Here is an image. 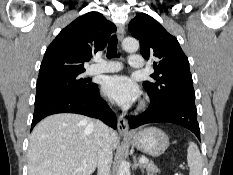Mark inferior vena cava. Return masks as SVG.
<instances>
[{"label":"inferior vena cava","mask_w":233,"mask_h":175,"mask_svg":"<svg viewBox=\"0 0 233 175\" xmlns=\"http://www.w3.org/2000/svg\"><path fill=\"white\" fill-rule=\"evenodd\" d=\"M97 136H98V174L110 175V168L112 163V146L109 137L108 127L101 121H96Z\"/></svg>","instance_id":"602c4592"}]
</instances>
